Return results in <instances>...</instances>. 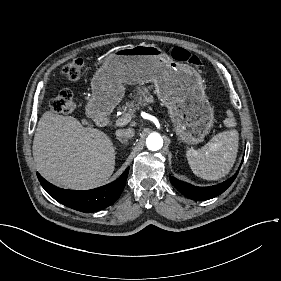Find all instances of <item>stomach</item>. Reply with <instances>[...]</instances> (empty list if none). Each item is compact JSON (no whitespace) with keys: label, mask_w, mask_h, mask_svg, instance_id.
<instances>
[{"label":"stomach","mask_w":281,"mask_h":281,"mask_svg":"<svg viewBox=\"0 0 281 281\" xmlns=\"http://www.w3.org/2000/svg\"><path fill=\"white\" fill-rule=\"evenodd\" d=\"M148 82L154 83L155 93L168 108L179 139L190 145L202 142L214 119L203 79L193 67L175 62L155 45L119 48L105 58L91 80L87 117L109 115L122 100L125 84Z\"/></svg>","instance_id":"0dacf381"}]
</instances>
